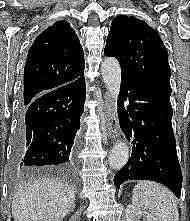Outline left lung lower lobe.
<instances>
[{
	"label": "left lung lower lobe",
	"instance_id": "obj_1",
	"mask_svg": "<svg viewBox=\"0 0 190 221\" xmlns=\"http://www.w3.org/2000/svg\"><path fill=\"white\" fill-rule=\"evenodd\" d=\"M170 95L167 89L121 78L119 121L128 141L133 139V151L114 177L118 189L127 180H152L180 198L182 172L171 123Z\"/></svg>",
	"mask_w": 190,
	"mask_h": 221
}]
</instances>
